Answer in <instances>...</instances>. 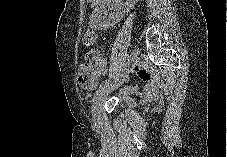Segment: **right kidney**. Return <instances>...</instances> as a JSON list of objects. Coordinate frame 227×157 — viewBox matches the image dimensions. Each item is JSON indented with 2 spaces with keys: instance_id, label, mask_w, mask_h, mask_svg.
<instances>
[{
  "instance_id": "1",
  "label": "right kidney",
  "mask_w": 227,
  "mask_h": 157,
  "mask_svg": "<svg viewBox=\"0 0 227 157\" xmlns=\"http://www.w3.org/2000/svg\"><path fill=\"white\" fill-rule=\"evenodd\" d=\"M125 11L116 14H107V11L103 6H98L94 10V16L98 20V25L101 27L107 25H113L116 21L120 20L124 16ZM103 14V16H102Z\"/></svg>"
}]
</instances>
